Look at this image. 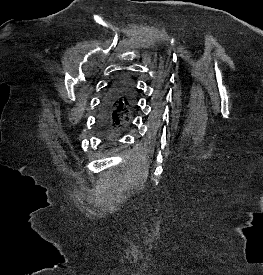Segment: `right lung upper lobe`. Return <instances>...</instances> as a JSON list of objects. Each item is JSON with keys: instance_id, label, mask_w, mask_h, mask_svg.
<instances>
[{"instance_id": "obj_1", "label": "right lung upper lobe", "mask_w": 263, "mask_h": 275, "mask_svg": "<svg viewBox=\"0 0 263 275\" xmlns=\"http://www.w3.org/2000/svg\"><path fill=\"white\" fill-rule=\"evenodd\" d=\"M122 88H123V91L117 106L118 107L117 119H120V121L128 119L135 106V98H134L133 87L131 83L129 81H124L122 84Z\"/></svg>"}]
</instances>
